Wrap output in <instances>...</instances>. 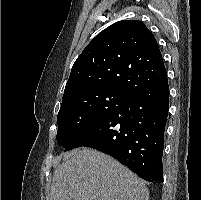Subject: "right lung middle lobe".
I'll use <instances>...</instances> for the list:
<instances>
[{
	"mask_svg": "<svg viewBox=\"0 0 201 200\" xmlns=\"http://www.w3.org/2000/svg\"><path fill=\"white\" fill-rule=\"evenodd\" d=\"M128 96L116 91H90L62 102L57 116V142L64 148L81 132L119 107Z\"/></svg>",
	"mask_w": 201,
	"mask_h": 200,
	"instance_id": "1",
	"label": "right lung middle lobe"
}]
</instances>
